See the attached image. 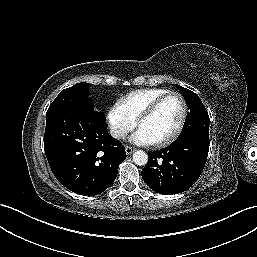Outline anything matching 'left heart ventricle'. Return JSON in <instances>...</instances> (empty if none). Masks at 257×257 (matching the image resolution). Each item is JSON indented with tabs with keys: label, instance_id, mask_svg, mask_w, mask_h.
<instances>
[{
	"label": "left heart ventricle",
	"instance_id": "left-heart-ventricle-1",
	"mask_svg": "<svg viewBox=\"0 0 257 257\" xmlns=\"http://www.w3.org/2000/svg\"><path fill=\"white\" fill-rule=\"evenodd\" d=\"M182 116V103L177 96L166 99L156 112L139 126L153 142L170 136L177 128Z\"/></svg>",
	"mask_w": 257,
	"mask_h": 257
}]
</instances>
